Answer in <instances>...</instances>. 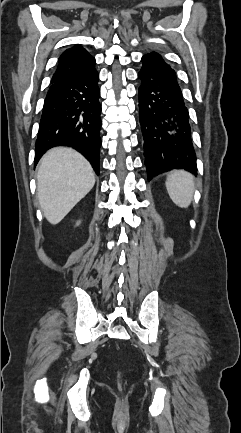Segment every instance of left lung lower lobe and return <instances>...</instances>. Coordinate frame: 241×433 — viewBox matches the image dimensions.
Segmentation results:
<instances>
[{"label":"left lung lower lobe","mask_w":241,"mask_h":433,"mask_svg":"<svg viewBox=\"0 0 241 433\" xmlns=\"http://www.w3.org/2000/svg\"><path fill=\"white\" fill-rule=\"evenodd\" d=\"M138 78L148 179L174 168L196 174L189 113L176 76L166 68L145 67Z\"/></svg>","instance_id":"0a47b994"}]
</instances>
